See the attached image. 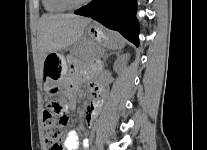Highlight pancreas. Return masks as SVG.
<instances>
[{"instance_id":"obj_1","label":"pancreas","mask_w":207,"mask_h":150,"mask_svg":"<svg viewBox=\"0 0 207 150\" xmlns=\"http://www.w3.org/2000/svg\"><path fill=\"white\" fill-rule=\"evenodd\" d=\"M99 53V49L96 47H92V48H88L86 50H84V52L82 53L81 57L84 60H96V55H98Z\"/></svg>"}]
</instances>
